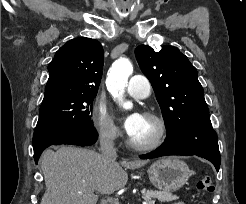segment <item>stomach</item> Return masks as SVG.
Masks as SVG:
<instances>
[{"label":"stomach","mask_w":246,"mask_h":204,"mask_svg":"<svg viewBox=\"0 0 246 204\" xmlns=\"http://www.w3.org/2000/svg\"><path fill=\"white\" fill-rule=\"evenodd\" d=\"M149 179L156 188L173 192L180 189L190 177L187 164L175 157L155 161L148 169Z\"/></svg>","instance_id":"0dacf381"}]
</instances>
